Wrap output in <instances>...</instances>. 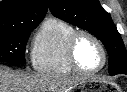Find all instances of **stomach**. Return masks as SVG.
Segmentation results:
<instances>
[{"label":"stomach","instance_id":"obj_1","mask_svg":"<svg viewBox=\"0 0 127 92\" xmlns=\"http://www.w3.org/2000/svg\"><path fill=\"white\" fill-rule=\"evenodd\" d=\"M95 86H96L95 80L94 79H88V80L82 81L78 85L77 90H80L81 92H90Z\"/></svg>","mask_w":127,"mask_h":92}]
</instances>
